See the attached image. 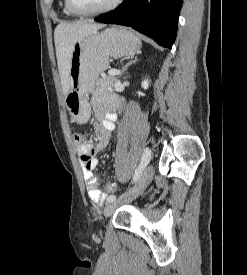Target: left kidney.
Here are the masks:
<instances>
[{
  "label": "left kidney",
  "mask_w": 247,
  "mask_h": 275,
  "mask_svg": "<svg viewBox=\"0 0 247 275\" xmlns=\"http://www.w3.org/2000/svg\"><path fill=\"white\" fill-rule=\"evenodd\" d=\"M142 87L146 90L148 89L149 87V81L148 79H145L143 82H142Z\"/></svg>",
  "instance_id": "left-kidney-1"
}]
</instances>
